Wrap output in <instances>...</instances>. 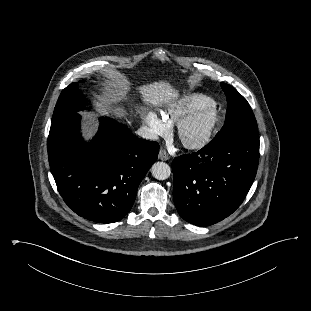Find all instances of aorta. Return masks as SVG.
Listing matches in <instances>:
<instances>
[{
	"mask_svg": "<svg viewBox=\"0 0 311 311\" xmlns=\"http://www.w3.org/2000/svg\"><path fill=\"white\" fill-rule=\"evenodd\" d=\"M154 178L158 180H165L171 175L170 166L164 162H156L151 168Z\"/></svg>",
	"mask_w": 311,
	"mask_h": 311,
	"instance_id": "aorta-1",
	"label": "aorta"
}]
</instances>
